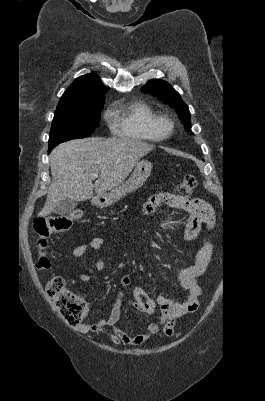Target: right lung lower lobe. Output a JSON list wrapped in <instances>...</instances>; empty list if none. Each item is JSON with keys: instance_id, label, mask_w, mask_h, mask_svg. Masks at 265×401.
Instances as JSON below:
<instances>
[{"instance_id": "right-lung-lower-lobe-1", "label": "right lung lower lobe", "mask_w": 265, "mask_h": 401, "mask_svg": "<svg viewBox=\"0 0 265 401\" xmlns=\"http://www.w3.org/2000/svg\"><path fill=\"white\" fill-rule=\"evenodd\" d=\"M53 149V148H52ZM51 148H49L48 152L50 153V151L52 150Z\"/></svg>"}]
</instances>
